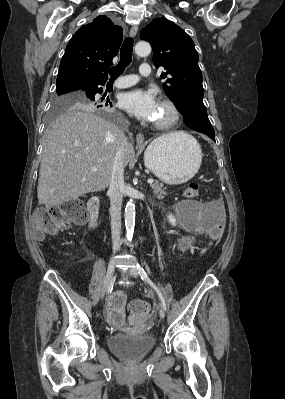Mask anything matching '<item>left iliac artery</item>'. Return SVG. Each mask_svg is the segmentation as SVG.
Returning <instances> with one entry per match:
<instances>
[{
  "label": "left iliac artery",
  "mask_w": 285,
  "mask_h": 399,
  "mask_svg": "<svg viewBox=\"0 0 285 399\" xmlns=\"http://www.w3.org/2000/svg\"><path fill=\"white\" fill-rule=\"evenodd\" d=\"M136 268H137V270H138V273H139L141 279H142L143 281L147 282V283L156 291V293L158 294V296H159V298H160V300H161V306H162V308H163L164 310H166V309H167V308H166V304H165L164 298H163V296H162L160 290L156 287V285L152 282V280H150V278H149L148 275L146 274L145 270L140 266V264L137 263V264H136Z\"/></svg>",
  "instance_id": "obj_1"
}]
</instances>
